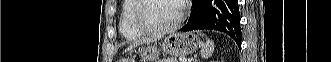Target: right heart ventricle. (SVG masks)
<instances>
[{"mask_svg": "<svg viewBox=\"0 0 331 62\" xmlns=\"http://www.w3.org/2000/svg\"><path fill=\"white\" fill-rule=\"evenodd\" d=\"M136 5V0H125L121 5L119 30L121 35L129 41L137 40L144 34L137 30L132 21V14Z\"/></svg>", "mask_w": 331, "mask_h": 62, "instance_id": "right-heart-ventricle-1", "label": "right heart ventricle"}]
</instances>
